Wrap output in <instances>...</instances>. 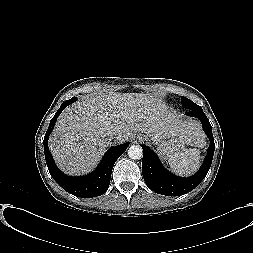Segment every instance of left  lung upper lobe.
<instances>
[{"label": "left lung upper lobe", "mask_w": 253, "mask_h": 253, "mask_svg": "<svg viewBox=\"0 0 253 253\" xmlns=\"http://www.w3.org/2000/svg\"><path fill=\"white\" fill-rule=\"evenodd\" d=\"M181 103L182 105L186 108V109H190L192 107H196V106H199L197 104H195L193 101H191L190 99L184 97V96H181Z\"/></svg>", "instance_id": "obj_1"}]
</instances>
